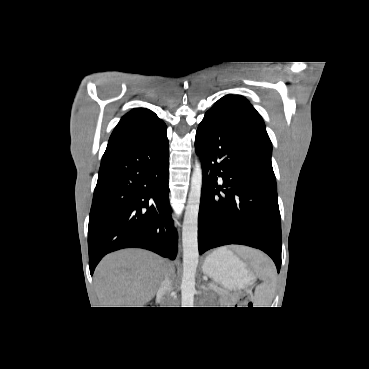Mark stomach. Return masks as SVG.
Segmentation results:
<instances>
[{
  "mask_svg": "<svg viewBox=\"0 0 369 369\" xmlns=\"http://www.w3.org/2000/svg\"><path fill=\"white\" fill-rule=\"evenodd\" d=\"M202 268L206 275L228 290L245 288L255 279L247 265L225 247L208 255Z\"/></svg>",
  "mask_w": 369,
  "mask_h": 369,
  "instance_id": "stomach-1",
  "label": "stomach"
}]
</instances>
